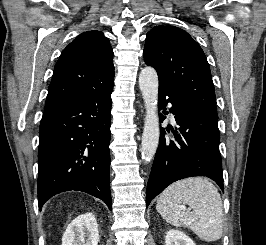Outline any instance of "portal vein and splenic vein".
Masks as SVG:
<instances>
[{"mask_svg":"<svg viewBox=\"0 0 266 245\" xmlns=\"http://www.w3.org/2000/svg\"><path fill=\"white\" fill-rule=\"evenodd\" d=\"M182 209H186V207H182Z\"/></svg>","mask_w":266,"mask_h":245,"instance_id":"18ae733b","label":"portal vein and splenic vein"}]
</instances>
